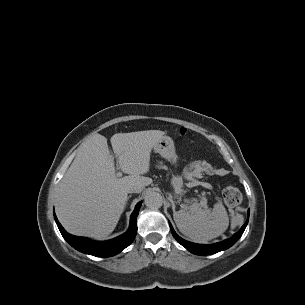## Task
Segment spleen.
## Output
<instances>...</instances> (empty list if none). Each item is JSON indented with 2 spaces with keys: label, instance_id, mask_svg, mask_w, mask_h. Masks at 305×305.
<instances>
[{
  "label": "spleen",
  "instance_id": "obj_1",
  "mask_svg": "<svg viewBox=\"0 0 305 305\" xmlns=\"http://www.w3.org/2000/svg\"><path fill=\"white\" fill-rule=\"evenodd\" d=\"M173 217L179 231L199 243L220 236L229 225L227 211L221 202L215 203L212 211L193 203L190 210L175 211Z\"/></svg>",
  "mask_w": 305,
  "mask_h": 305
}]
</instances>
